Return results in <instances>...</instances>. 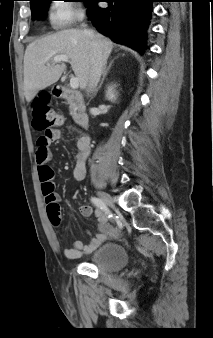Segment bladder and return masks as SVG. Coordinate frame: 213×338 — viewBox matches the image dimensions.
<instances>
[{"mask_svg": "<svg viewBox=\"0 0 213 338\" xmlns=\"http://www.w3.org/2000/svg\"><path fill=\"white\" fill-rule=\"evenodd\" d=\"M128 262V254L123 244L107 242L91 254L88 264L99 271L115 273L122 270Z\"/></svg>", "mask_w": 213, "mask_h": 338, "instance_id": "bladder-1", "label": "bladder"}]
</instances>
